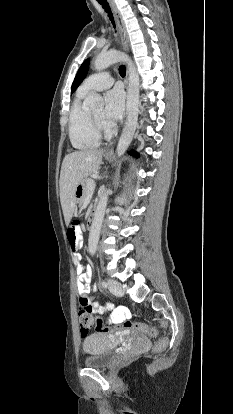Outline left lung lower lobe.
<instances>
[{
  "label": "left lung lower lobe",
  "instance_id": "left-lung-lower-lobe-1",
  "mask_svg": "<svg viewBox=\"0 0 233 414\" xmlns=\"http://www.w3.org/2000/svg\"><path fill=\"white\" fill-rule=\"evenodd\" d=\"M131 155H135V157H138L137 153H134L133 151L130 152Z\"/></svg>",
  "mask_w": 233,
  "mask_h": 414
}]
</instances>
